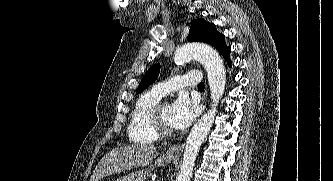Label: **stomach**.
<instances>
[{
    "label": "stomach",
    "mask_w": 333,
    "mask_h": 181,
    "mask_svg": "<svg viewBox=\"0 0 333 181\" xmlns=\"http://www.w3.org/2000/svg\"><path fill=\"white\" fill-rule=\"evenodd\" d=\"M176 158V155H169V154H163L158 157L156 160L155 165L157 166H165L172 162ZM153 169V167L133 171L131 173H128L120 178H118L116 181H145L147 176L149 175L150 171Z\"/></svg>",
    "instance_id": "stomach-1"
}]
</instances>
